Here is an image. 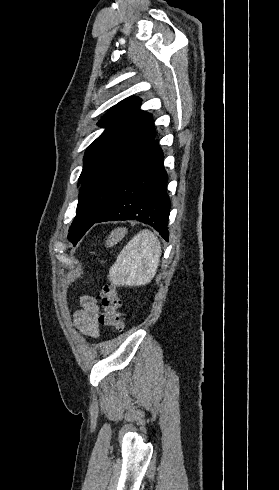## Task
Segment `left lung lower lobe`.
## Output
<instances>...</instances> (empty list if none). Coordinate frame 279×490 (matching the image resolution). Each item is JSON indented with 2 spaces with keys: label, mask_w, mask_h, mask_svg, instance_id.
Wrapping results in <instances>:
<instances>
[{
  "label": "left lung lower lobe",
  "mask_w": 279,
  "mask_h": 490,
  "mask_svg": "<svg viewBox=\"0 0 279 490\" xmlns=\"http://www.w3.org/2000/svg\"><path fill=\"white\" fill-rule=\"evenodd\" d=\"M163 153L153 140L120 187L110 209L95 223L137 220L154 227L168 241L170 199Z\"/></svg>",
  "instance_id": "left-lung-lower-lobe-1"
}]
</instances>
